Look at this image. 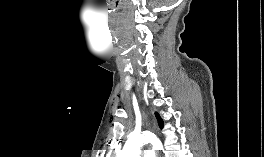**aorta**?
Here are the masks:
<instances>
[{
  "label": "aorta",
  "instance_id": "762f6f07",
  "mask_svg": "<svg viewBox=\"0 0 264 157\" xmlns=\"http://www.w3.org/2000/svg\"><path fill=\"white\" fill-rule=\"evenodd\" d=\"M148 143H151L154 148H162V143L151 134H133L125 143L124 148L117 152L116 157H139L142 147Z\"/></svg>",
  "mask_w": 264,
  "mask_h": 157
}]
</instances>
